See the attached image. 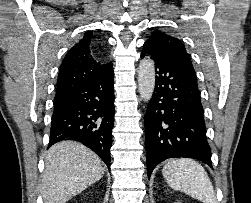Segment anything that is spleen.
Instances as JSON below:
<instances>
[{"label": "spleen", "mask_w": 251, "mask_h": 203, "mask_svg": "<svg viewBox=\"0 0 251 203\" xmlns=\"http://www.w3.org/2000/svg\"><path fill=\"white\" fill-rule=\"evenodd\" d=\"M162 174L174 190L184 192L203 203H217L207 172L195 160L189 158L170 160L163 167Z\"/></svg>", "instance_id": "spleen-1"}]
</instances>
